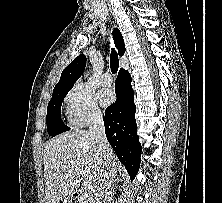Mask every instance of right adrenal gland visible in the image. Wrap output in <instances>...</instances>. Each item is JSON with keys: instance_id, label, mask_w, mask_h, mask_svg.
Instances as JSON below:
<instances>
[{"instance_id": "right-adrenal-gland-1", "label": "right adrenal gland", "mask_w": 222, "mask_h": 203, "mask_svg": "<svg viewBox=\"0 0 222 203\" xmlns=\"http://www.w3.org/2000/svg\"><path fill=\"white\" fill-rule=\"evenodd\" d=\"M118 180V178H116L115 180H114V183L116 182ZM113 187H115V184H114V186Z\"/></svg>"}]
</instances>
